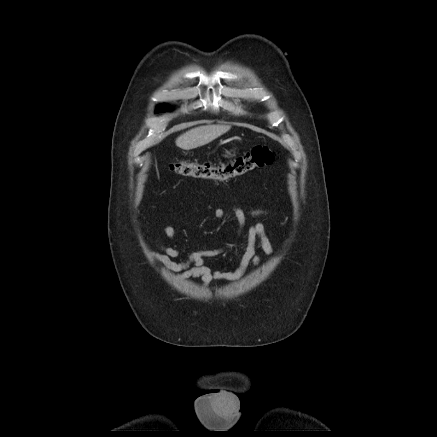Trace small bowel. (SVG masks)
I'll return each instance as SVG.
<instances>
[{
  "label": "small bowel",
  "instance_id": "c3829d8e",
  "mask_svg": "<svg viewBox=\"0 0 437 437\" xmlns=\"http://www.w3.org/2000/svg\"><path fill=\"white\" fill-rule=\"evenodd\" d=\"M234 217L237 223V238L240 237L245 229L246 214L239 207H233ZM268 214L267 210L254 209L250 211L253 217H261ZM214 217L222 220L225 217V211L217 208L214 211ZM163 232L169 239H174L176 230L173 226L166 225ZM259 246L264 254L271 255L274 252L273 245L266 234V225L262 221L253 223L247 229V241L244 253L241 256L239 266L233 271L214 270L206 264V259L216 257L222 254L225 247L202 250L197 249L189 254L185 260H175L181 255L177 248L159 245V251H153L152 256L160 262L167 270L175 273L178 280H187L199 278L203 286L209 285L212 281L235 282L241 279L250 265L257 266L261 258L256 254V248Z\"/></svg>",
  "mask_w": 437,
  "mask_h": 437
}]
</instances>
